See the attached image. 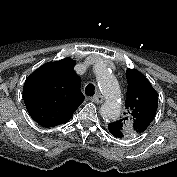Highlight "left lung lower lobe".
I'll use <instances>...</instances> for the list:
<instances>
[{
    "label": "left lung lower lobe",
    "mask_w": 177,
    "mask_h": 177,
    "mask_svg": "<svg viewBox=\"0 0 177 177\" xmlns=\"http://www.w3.org/2000/svg\"><path fill=\"white\" fill-rule=\"evenodd\" d=\"M109 132L116 138L122 137V132H120L117 128H115L111 123L108 125Z\"/></svg>",
    "instance_id": "obj_1"
}]
</instances>
